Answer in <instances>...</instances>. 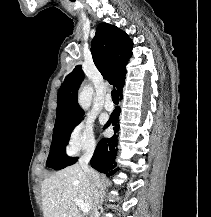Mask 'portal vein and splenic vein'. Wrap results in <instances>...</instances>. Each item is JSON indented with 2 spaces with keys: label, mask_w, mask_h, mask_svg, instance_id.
Listing matches in <instances>:
<instances>
[{
  "label": "portal vein and splenic vein",
  "mask_w": 211,
  "mask_h": 217,
  "mask_svg": "<svg viewBox=\"0 0 211 217\" xmlns=\"http://www.w3.org/2000/svg\"><path fill=\"white\" fill-rule=\"evenodd\" d=\"M74 202L84 213L89 212L90 208L88 204H85L82 200L77 198L74 199Z\"/></svg>",
  "instance_id": "1"
}]
</instances>
